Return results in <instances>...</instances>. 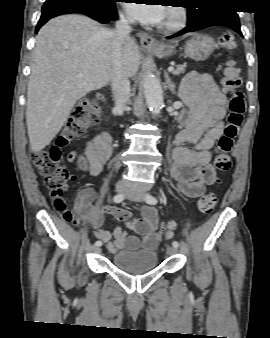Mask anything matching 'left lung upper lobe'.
Instances as JSON below:
<instances>
[{
	"instance_id": "5c2ea615",
	"label": "left lung upper lobe",
	"mask_w": 270,
	"mask_h": 338,
	"mask_svg": "<svg viewBox=\"0 0 270 338\" xmlns=\"http://www.w3.org/2000/svg\"><path fill=\"white\" fill-rule=\"evenodd\" d=\"M229 0H188V24H193L202 17L223 9Z\"/></svg>"
}]
</instances>
